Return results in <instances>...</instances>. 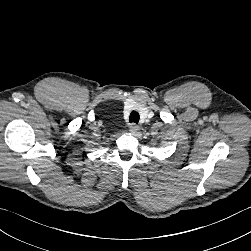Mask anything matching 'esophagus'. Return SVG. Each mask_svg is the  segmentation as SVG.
<instances>
[{
	"label": "esophagus",
	"mask_w": 251,
	"mask_h": 251,
	"mask_svg": "<svg viewBox=\"0 0 251 251\" xmlns=\"http://www.w3.org/2000/svg\"><path fill=\"white\" fill-rule=\"evenodd\" d=\"M129 130L131 133L135 134L139 131V126L136 124H130Z\"/></svg>",
	"instance_id": "obj_1"
}]
</instances>
